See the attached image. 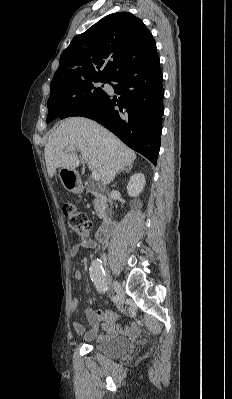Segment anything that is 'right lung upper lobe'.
I'll return each mask as SVG.
<instances>
[{"label": "right lung upper lobe", "instance_id": "1", "mask_svg": "<svg viewBox=\"0 0 232 399\" xmlns=\"http://www.w3.org/2000/svg\"><path fill=\"white\" fill-rule=\"evenodd\" d=\"M155 51L153 36L141 19L129 12L107 15L75 36L63 51L51 82V95L82 83L110 79Z\"/></svg>", "mask_w": 232, "mask_h": 399}]
</instances>
